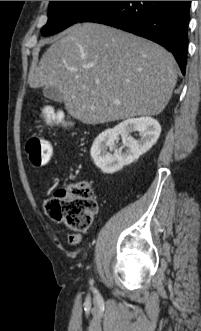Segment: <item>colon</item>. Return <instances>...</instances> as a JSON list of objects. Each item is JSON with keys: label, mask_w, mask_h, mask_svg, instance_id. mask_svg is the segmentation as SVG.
Listing matches in <instances>:
<instances>
[{"label": "colon", "mask_w": 201, "mask_h": 331, "mask_svg": "<svg viewBox=\"0 0 201 331\" xmlns=\"http://www.w3.org/2000/svg\"><path fill=\"white\" fill-rule=\"evenodd\" d=\"M44 121L47 124H57L69 127L62 113L51 107L43 110ZM26 154L35 166L46 165L52 157L50 142L38 136L28 138L25 143ZM46 209L54 221L63 223L73 231H85L91 224L97 212V202L92 187L87 182H81L70 188H59L46 202Z\"/></svg>", "instance_id": "1"}]
</instances>
